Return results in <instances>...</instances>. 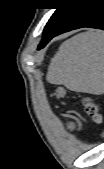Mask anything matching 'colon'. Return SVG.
Wrapping results in <instances>:
<instances>
[{"label": "colon", "mask_w": 104, "mask_h": 169, "mask_svg": "<svg viewBox=\"0 0 104 169\" xmlns=\"http://www.w3.org/2000/svg\"><path fill=\"white\" fill-rule=\"evenodd\" d=\"M57 95L58 97H62L64 95V89L63 88H59L57 90ZM83 105L87 111V113L93 117V119L96 122H100L101 121V116L99 114V106L97 103H95L92 98L90 97H86L83 99Z\"/></svg>", "instance_id": "colon-1"}]
</instances>
